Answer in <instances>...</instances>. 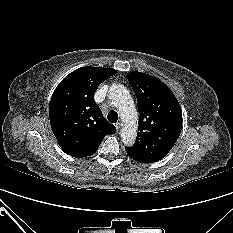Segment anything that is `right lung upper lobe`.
<instances>
[{
    "instance_id": "1",
    "label": "right lung upper lobe",
    "mask_w": 233,
    "mask_h": 233,
    "mask_svg": "<svg viewBox=\"0 0 233 233\" xmlns=\"http://www.w3.org/2000/svg\"><path fill=\"white\" fill-rule=\"evenodd\" d=\"M116 72L113 68L82 67L56 87L49 106L50 124L58 144L68 155H92L106 134L116 132L94 100L98 85Z\"/></svg>"
}]
</instances>
